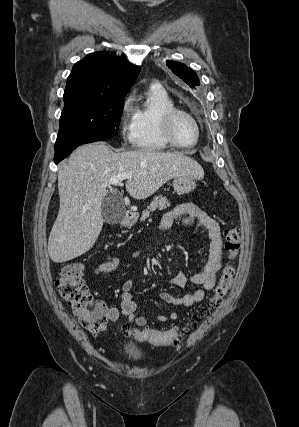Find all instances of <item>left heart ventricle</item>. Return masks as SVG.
<instances>
[{"label":"left heart ventricle","mask_w":299,"mask_h":427,"mask_svg":"<svg viewBox=\"0 0 299 427\" xmlns=\"http://www.w3.org/2000/svg\"><path fill=\"white\" fill-rule=\"evenodd\" d=\"M175 140L180 144H192L196 139V127L193 121L183 115L175 118L172 125Z\"/></svg>","instance_id":"b2bd125f"}]
</instances>
